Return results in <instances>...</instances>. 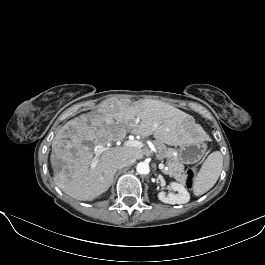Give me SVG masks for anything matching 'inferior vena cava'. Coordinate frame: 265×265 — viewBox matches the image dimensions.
Segmentation results:
<instances>
[{
  "instance_id": "inferior-vena-cava-1",
  "label": "inferior vena cava",
  "mask_w": 265,
  "mask_h": 265,
  "mask_svg": "<svg viewBox=\"0 0 265 265\" xmlns=\"http://www.w3.org/2000/svg\"><path fill=\"white\" fill-rule=\"evenodd\" d=\"M135 162V158L133 157H127L122 159L117 163V169H121L123 167H127Z\"/></svg>"
}]
</instances>
